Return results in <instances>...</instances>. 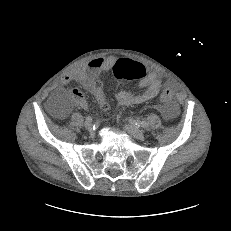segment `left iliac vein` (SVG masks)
Returning <instances> with one entry per match:
<instances>
[{"label":"left iliac vein","instance_id":"1","mask_svg":"<svg viewBox=\"0 0 231 231\" xmlns=\"http://www.w3.org/2000/svg\"><path fill=\"white\" fill-rule=\"evenodd\" d=\"M125 128L133 138L138 140L144 139V133L140 129L131 125H125Z\"/></svg>","mask_w":231,"mask_h":231}]
</instances>
